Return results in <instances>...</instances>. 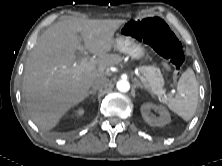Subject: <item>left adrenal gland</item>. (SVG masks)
Instances as JSON below:
<instances>
[{"instance_id": "obj_1", "label": "left adrenal gland", "mask_w": 222, "mask_h": 166, "mask_svg": "<svg viewBox=\"0 0 222 166\" xmlns=\"http://www.w3.org/2000/svg\"><path fill=\"white\" fill-rule=\"evenodd\" d=\"M136 81V86L140 87L141 89H146L149 91V89L147 88V86L143 85L139 80H135Z\"/></svg>"}]
</instances>
